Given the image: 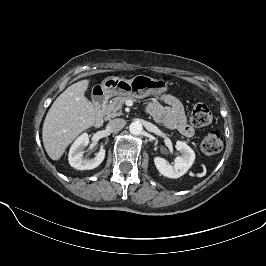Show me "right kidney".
I'll use <instances>...</instances> for the list:
<instances>
[{
    "instance_id": "1",
    "label": "right kidney",
    "mask_w": 266,
    "mask_h": 266,
    "mask_svg": "<svg viewBox=\"0 0 266 266\" xmlns=\"http://www.w3.org/2000/svg\"><path fill=\"white\" fill-rule=\"evenodd\" d=\"M89 144L87 133L80 135L72 144L68 160L69 164L78 170H91L98 167L105 158V149H100L94 158L87 159L84 155V148Z\"/></svg>"
}]
</instances>
